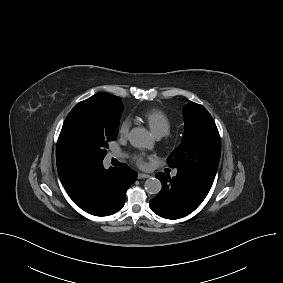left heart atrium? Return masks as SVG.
I'll use <instances>...</instances> for the list:
<instances>
[{"mask_svg": "<svg viewBox=\"0 0 283 283\" xmlns=\"http://www.w3.org/2000/svg\"><path fill=\"white\" fill-rule=\"evenodd\" d=\"M134 160L139 166L145 165L144 157L140 154L135 155Z\"/></svg>", "mask_w": 283, "mask_h": 283, "instance_id": "left-heart-atrium-1", "label": "left heart atrium"}]
</instances>
